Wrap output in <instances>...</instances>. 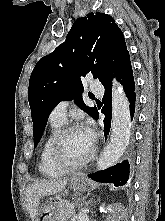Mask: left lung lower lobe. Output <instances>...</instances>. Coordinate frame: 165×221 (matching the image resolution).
I'll use <instances>...</instances> for the list:
<instances>
[{
	"mask_svg": "<svg viewBox=\"0 0 165 221\" xmlns=\"http://www.w3.org/2000/svg\"><path fill=\"white\" fill-rule=\"evenodd\" d=\"M113 77H117V80L123 85V89L126 93V96L129 100V107L131 118H133L135 112L136 105V93H135V82L133 77L132 66L130 62L129 54L124 57L114 74L103 83L105 87V94L103 96L104 107L102 108V113L105 114L104 119V135L105 140L109 134L110 126H111V116H112V79ZM98 119V113L94 117ZM130 160H124L121 163L110 167L103 171H98L93 174H89L88 176L96 181L102 183H113L115 186L125 185L129 178V167Z\"/></svg>",
	"mask_w": 165,
	"mask_h": 221,
	"instance_id": "obj_1",
	"label": "left lung lower lobe"
}]
</instances>
